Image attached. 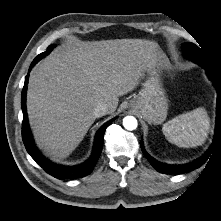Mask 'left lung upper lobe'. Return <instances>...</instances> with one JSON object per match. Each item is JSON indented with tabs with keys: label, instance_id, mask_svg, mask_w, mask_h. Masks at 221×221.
Wrapping results in <instances>:
<instances>
[{
	"label": "left lung upper lobe",
	"instance_id": "left-lung-upper-lobe-1",
	"mask_svg": "<svg viewBox=\"0 0 221 221\" xmlns=\"http://www.w3.org/2000/svg\"><path fill=\"white\" fill-rule=\"evenodd\" d=\"M183 52L185 57L197 62L200 65H202L204 62L207 63L203 51L193 43H185L183 45Z\"/></svg>",
	"mask_w": 221,
	"mask_h": 221
}]
</instances>
